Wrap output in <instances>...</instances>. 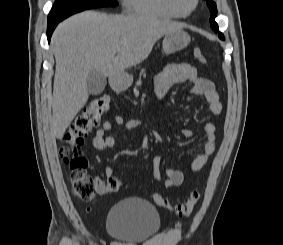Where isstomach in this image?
<instances>
[{
  "instance_id": "obj_1",
  "label": "stomach",
  "mask_w": 283,
  "mask_h": 245,
  "mask_svg": "<svg viewBox=\"0 0 283 245\" xmlns=\"http://www.w3.org/2000/svg\"><path fill=\"white\" fill-rule=\"evenodd\" d=\"M189 42L190 36L182 30L167 33L162 42L163 51L167 55L172 54L186 48ZM132 80L131 75H124L117 80L116 85L120 88L128 87Z\"/></svg>"
}]
</instances>
